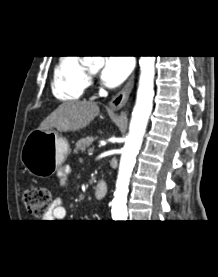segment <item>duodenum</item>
<instances>
[{
    "label": "duodenum",
    "instance_id": "duodenum-1",
    "mask_svg": "<svg viewBox=\"0 0 218 277\" xmlns=\"http://www.w3.org/2000/svg\"><path fill=\"white\" fill-rule=\"evenodd\" d=\"M107 184L103 180H99L96 182L94 186V192L97 199H103L107 194Z\"/></svg>",
    "mask_w": 218,
    "mask_h": 277
}]
</instances>
